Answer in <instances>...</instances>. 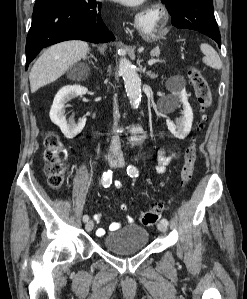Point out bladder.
I'll return each instance as SVG.
<instances>
[{
  "instance_id": "bladder-1",
  "label": "bladder",
  "mask_w": 247,
  "mask_h": 299,
  "mask_svg": "<svg viewBox=\"0 0 247 299\" xmlns=\"http://www.w3.org/2000/svg\"><path fill=\"white\" fill-rule=\"evenodd\" d=\"M148 243V230L132 223L108 234L103 240V247L110 253L126 255L145 249Z\"/></svg>"
}]
</instances>
